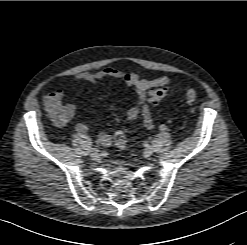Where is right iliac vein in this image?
<instances>
[{"mask_svg": "<svg viewBox=\"0 0 247 245\" xmlns=\"http://www.w3.org/2000/svg\"><path fill=\"white\" fill-rule=\"evenodd\" d=\"M90 156L93 160H97L100 157V154L98 152H92Z\"/></svg>", "mask_w": 247, "mask_h": 245, "instance_id": "1", "label": "right iliac vein"}]
</instances>
